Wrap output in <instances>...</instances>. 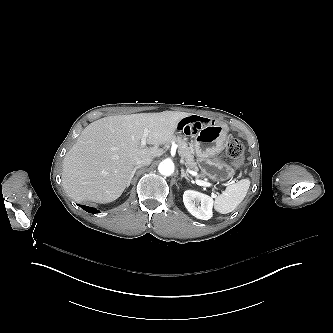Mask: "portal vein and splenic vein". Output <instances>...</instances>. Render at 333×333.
Segmentation results:
<instances>
[{
  "mask_svg": "<svg viewBox=\"0 0 333 333\" xmlns=\"http://www.w3.org/2000/svg\"><path fill=\"white\" fill-rule=\"evenodd\" d=\"M148 134H149L148 129H144V133H143V136H142V138H141V146H142V147H145V146H146V139H147V137H148ZM180 163H184V161H183V160H180ZM196 184L199 185V186H205V187H210V186H212L211 183H209V182H205V181H200V180H197V181H196Z\"/></svg>",
  "mask_w": 333,
  "mask_h": 333,
  "instance_id": "portal-vein-and-splenic-vein-1",
  "label": "portal vein and splenic vein"
}]
</instances>
